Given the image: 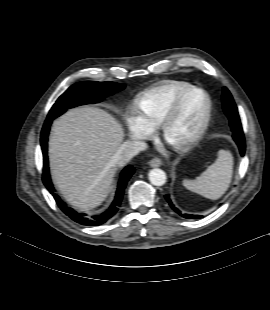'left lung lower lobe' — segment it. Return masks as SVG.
Here are the masks:
<instances>
[{"label": "left lung lower lobe", "instance_id": "left-lung-lower-lobe-1", "mask_svg": "<svg viewBox=\"0 0 270 310\" xmlns=\"http://www.w3.org/2000/svg\"><path fill=\"white\" fill-rule=\"evenodd\" d=\"M234 140H235L236 144H237L238 147H239L240 154L243 156L244 153H245L244 136H243V137L234 138ZM164 197H165L166 201L168 202V204L170 205V207H171L175 212H177L179 215H181V216H183V217H185V218H188V219H199V218L202 217V216H200V215L182 214L181 211L178 210V209L174 206V204L172 203L169 194H166Z\"/></svg>", "mask_w": 270, "mask_h": 310}]
</instances>
